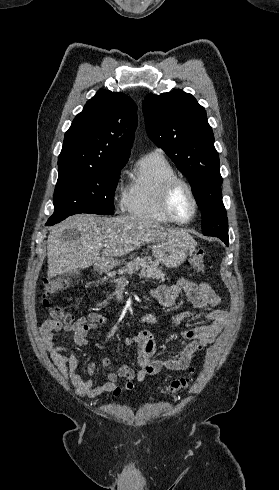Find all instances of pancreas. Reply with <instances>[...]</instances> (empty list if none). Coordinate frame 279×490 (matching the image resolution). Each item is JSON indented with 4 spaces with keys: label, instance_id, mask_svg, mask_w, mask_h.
Here are the masks:
<instances>
[{
    "label": "pancreas",
    "instance_id": "pancreas-1",
    "mask_svg": "<svg viewBox=\"0 0 279 490\" xmlns=\"http://www.w3.org/2000/svg\"><path fill=\"white\" fill-rule=\"evenodd\" d=\"M135 272H139L140 278H152V280H160V282L168 280L165 278L166 274L162 272L159 262H150L148 258L133 260V262H128L125 268L118 270V274H135Z\"/></svg>",
    "mask_w": 279,
    "mask_h": 490
}]
</instances>
